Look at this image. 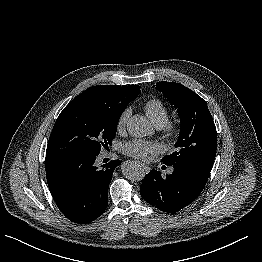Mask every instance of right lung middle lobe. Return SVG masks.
Here are the masks:
<instances>
[{
    "label": "right lung middle lobe",
    "instance_id": "1",
    "mask_svg": "<svg viewBox=\"0 0 262 262\" xmlns=\"http://www.w3.org/2000/svg\"><path fill=\"white\" fill-rule=\"evenodd\" d=\"M125 107L78 95L58 116L47 144V153L98 155L111 145Z\"/></svg>",
    "mask_w": 262,
    "mask_h": 262
}]
</instances>
